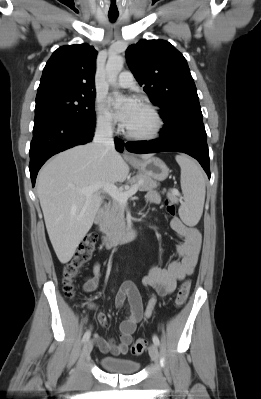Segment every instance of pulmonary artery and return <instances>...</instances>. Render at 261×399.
<instances>
[{"label": "pulmonary artery", "mask_w": 261, "mask_h": 399, "mask_svg": "<svg viewBox=\"0 0 261 399\" xmlns=\"http://www.w3.org/2000/svg\"><path fill=\"white\" fill-rule=\"evenodd\" d=\"M135 81L131 72L123 71L120 73L117 81V85L121 88H130L134 86Z\"/></svg>", "instance_id": "e3ab8cb5"}]
</instances>
